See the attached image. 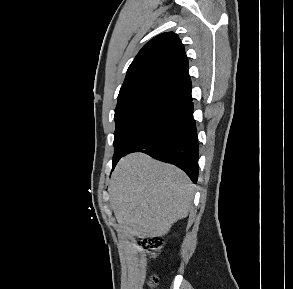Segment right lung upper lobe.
<instances>
[{
	"label": "right lung upper lobe",
	"mask_w": 293,
	"mask_h": 289,
	"mask_svg": "<svg viewBox=\"0 0 293 289\" xmlns=\"http://www.w3.org/2000/svg\"><path fill=\"white\" fill-rule=\"evenodd\" d=\"M188 60L177 34L151 39L127 70L118 103L136 97H155L182 106L192 100Z\"/></svg>",
	"instance_id": "1"
}]
</instances>
